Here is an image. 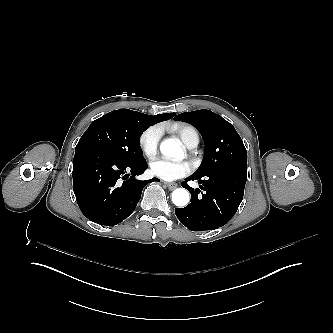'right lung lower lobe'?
<instances>
[{
	"instance_id": "obj_1",
	"label": "right lung lower lobe",
	"mask_w": 333,
	"mask_h": 333,
	"mask_svg": "<svg viewBox=\"0 0 333 333\" xmlns=\"http://www.w3.org/2000/svg\"><path fill=\"white\" fill-rule=\"evenodd\" d=\"M146 169L145 160L127 163L96 148H76L73 190L81 212L97 224L120 223L134 211L143 187L152 180L159 181L135 179Z\"/></svg>"
}]
</instances>
